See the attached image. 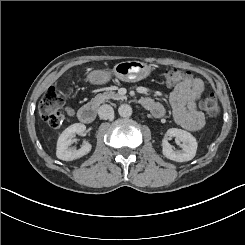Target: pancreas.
I'll list each match as a JSON object with an SVG mask.
<instances>
[{"mask_svg":"<svg viewBox=\"0 0 245 245\" xmlns=\"http://www.w3.org/2000/svg\"><path fill=\"white\" fill-rule=\"evenodd\" d=\"M108 99H116V100H123L124 96H121L113 91L99 93L97 94L92 100L90 101L92 104L99 106L100 104L104 103Z\"/></svg>","mask_w":245,"mask_h":245,"instance_id":"cf45deb5","label":"pancreas"}]
</instances>
